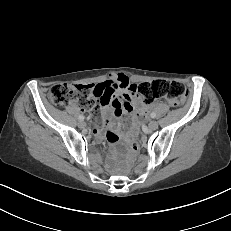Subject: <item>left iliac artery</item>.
<instances>
[{
  "instance_id": "left-iliac-artery-1",
  "label": "left iliac artery",
  "mask_w": 231,
  "mask_h": 231,
  "mask_svg": "<svg viewBox=\"0 0 231 231\" xmlns=\"http://www.w3.org/2000/svg\"><path fill=\"white\" fill-rule=\"evenodd\" d=\"M151 118H155L156 117V114L153 112V113H151Z\"/></svg>"
}]
</instances>
